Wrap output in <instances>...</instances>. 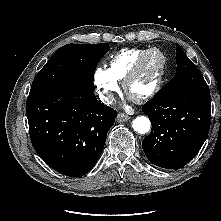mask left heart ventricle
<instances>
[{
	"instance_id": "1",
	"label": "left heart ventricle",
	"mask_w": 221,
	"mask_h": 221,
	"mask_svg": "<svg viewBox=\"0 0 221 221\" xmlns=\"http://www.w3.org/2000/svg\"><path fill=\"white\" fill-rule=\"evenodd\" d=\"M161 57L158 53L151 54L146 60L142 70L130 85V93L134 96L147 92L154 84L159 68Z\"/></svg>"
}]
</instances>
